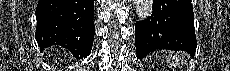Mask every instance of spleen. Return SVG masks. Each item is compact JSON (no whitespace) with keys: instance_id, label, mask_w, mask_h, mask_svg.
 Here are the masks:
<instances>
[{"instance_id":"obj_1","label":"spleen","mask_w":230,"mask_h":71,"mask_svg":"<svg viewBox=\"0 0 230 71\" xmlns=\"http://www.w3.org/2000/svg\"><path fill=\"white\" fill-rule=\"evenodd\" d=\"M172 60H173V66H178L180 63V59H179V57H177V56H174L173 58H172Z\"/></svg>"}]
</instances>
